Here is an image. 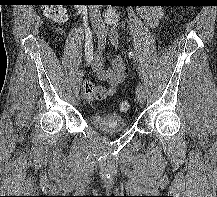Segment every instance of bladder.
<instances>
[{"label": "bladder", "instance_id": "bladder-1", "mask_svg": "<svg viewBox=\"0 0 217 197\" xmlns=\"http://www.w3.org/2000/svg\"><path fill=\"white\" fill-rule=\"evenodd\" d=\"M91 123L98 131L106 134H116L127 130L124 118L117 114L109 116H94Z\"/></svg>", "mask_w": 217, "mask_h": 197}]
</instances>
